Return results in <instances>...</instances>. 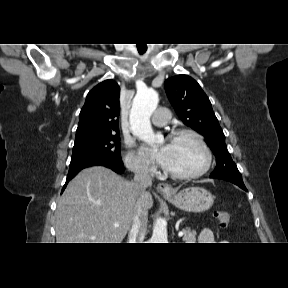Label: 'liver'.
<instances>
[{
	"label": "liver",
	"instance_id": "6515ba94",
	"mask_svg": "<svg viewBox=\"0 0 288 288\" xmlns=\"http://www.w3.org/2000/svg\"><path fill=\"white\" fill-rule=\"evenodd\" d=\"M138 198L135 183L112 170L102 166L83 169L58 201L57 243H121L130 229ZM143 203L147 211L152 208L150 192L145 191Z\"/></svg>",
	"mask_w": 288,
	"mask_h": 288
}]
</instances>
